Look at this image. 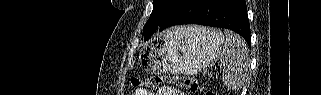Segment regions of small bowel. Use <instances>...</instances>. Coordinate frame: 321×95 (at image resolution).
I'll return each mask as SVG.
<instances>
[{
    "label": "small bowel",
    "instance_id": "c3829d8e",
    "mask_svg": "<svg viewBox=\"0 0 321 95\" xmlns=\"http://www.w3.org/2000/svg\"><path fill=\"white\" fill-rule=\"evenodd\" d=\"M137 95H152V94L144 92L143 90H138ZM159 95H183V93L172 87H163Z\"/></svg>",
    "mask_w": 321,
    "mask_h": 95
}]
</instances>
